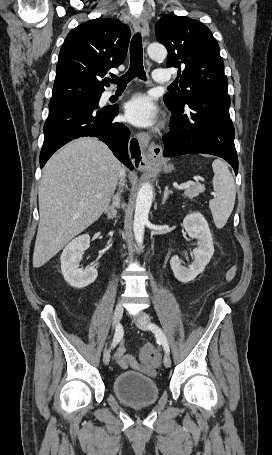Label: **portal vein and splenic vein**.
<instances>
[{"instance_id":"portal-vein-and-splenic-vein-1","label":"portal vein and splenic vein","mask_w":272,"mask_h":455,"mask_svg":"<svg viewBox=\"0 0 272 455\" xmlns=\"http://www.w3.org/2000/svg\"><path fill=\"white\" fill-rule=\"evenodd\" d=\"M188 187H190V183H183V184L179 185L177 188H178V190H183Z\"/></svg>"}]
</instances>
